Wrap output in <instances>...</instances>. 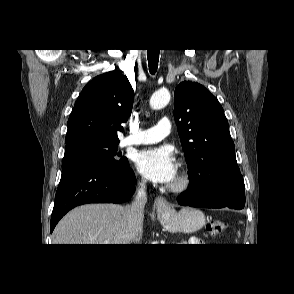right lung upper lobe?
<instances>
[{"label": "right lung upper lobe", "instance_id": "right-lung-upper-lobe-1", "mask_svg": "<svg viewBox=\"0 0 294 294\" xmlns=\"http://www.w3.org/2000/svg\"><path fill=\"white\" fill-rule=\"evenodd\" d=\"M134 91L126 76L110 71L95 77L82 90L68 119L66 144L95 139L119 142L117 131L131 115Z\"/></svg>", "mask_w": 294, "mask_h": 294}]
</instances>
